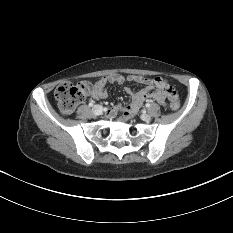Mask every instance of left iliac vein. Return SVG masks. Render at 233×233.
<instances>
[{
    "mask_svg": "<svg viewBox=\"0 0 233 233\" xmlns=\"http://www.w3.org/2000/svg\"><path fill=\"white\" fill-rule=\"evenodd\" d=\"M141 119L143 120V121H146V122H149V121H151V116L149 115V114H146V113H143L142 115H141Z\"/></svg>",
    "mask_w": 233,
    "mask_h": 233,
    "instance_id": "4c4485c4",
    "label": "left iliac vein"
}]
</instances>
